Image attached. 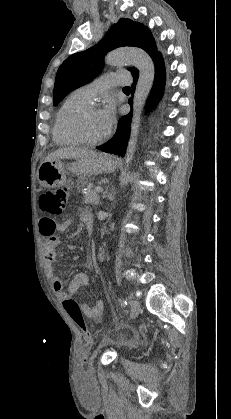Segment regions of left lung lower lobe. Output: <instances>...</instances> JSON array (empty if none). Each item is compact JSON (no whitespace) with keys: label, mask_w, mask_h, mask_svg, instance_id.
<instances>
[{"label":"left lung lower lobe","mask_w":231,"mask_h":419,"mask_svg":"<svg viewBox=\"0 0 231 419\" xmlns=\"http://www.w3.org/2000/svg\"><path fill=\"white\" fill-rule=\"evenodd\" d=\"M154 65H155V80H154V86L151 92V96L149 99V106L154 107L157 103V100H159L162 97L164 85H165V65L162 58V54L159 52L153 59ZM138 80V73L133 75V84H132V94L134 93L135 86ZM133 103V97L129 99V104L132 105ZM132 118V111L121 117L119 119V125L118 130L115 134V136L108 141L107 143L98 146L97 149L102 150L104 152L114 153L118 154L120 156H124L126 151L127 142L129 139L130 134V121Z\"/></svg>","instance_id":"1"}]
</instances>
